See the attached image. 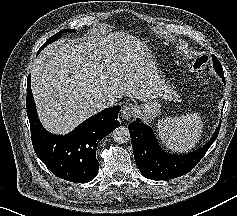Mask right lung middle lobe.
<instances>
[{
	"label": "right lung middle lobe",
	"mask_w": 237,
	"mask_h": 216,
	"mask_svg": "<svg viewBox=\"0 0 237 216\" xmlns=\"http://www.w3.org/2000/svg\"><path fill=\"white\" fill-rule=\"evenodd\" d=\"M63 31L66 32H74L75 30L73 29H66V30H61L60 32H58L57 34L53 35L52 37H50L43 46H41V48L39 49V51H41L42 49H44L48 44L54 42L55 40L59 39L61 37V34ZM39 53V52H38Z\"/></svg>",
	"instance_id": "obj_1"
}]
</instances>
